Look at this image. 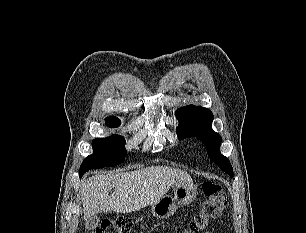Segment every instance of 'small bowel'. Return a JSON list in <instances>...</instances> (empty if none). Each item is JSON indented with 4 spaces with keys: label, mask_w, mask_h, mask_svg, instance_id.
I'll use <instances>...</instances> for the list:
<instances>
[{
    "label": "small bowel",
    "mask_w": 306,
    "mask_h": 233,
    "mask_svg": "<svg viewBox=\"0 0 306 233\" xmlns=\"http://www.w3.org/2000/svg\"><path fill=\"white\" fill-rule=\"evenodd\" d=\"M205 233H221V232L216 229H213L211 231H206Z\"/></svg>",
    "instance_id": "small-bowel-1"
}]
</instances>
